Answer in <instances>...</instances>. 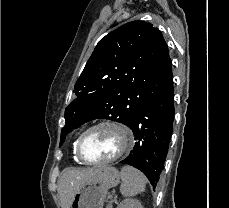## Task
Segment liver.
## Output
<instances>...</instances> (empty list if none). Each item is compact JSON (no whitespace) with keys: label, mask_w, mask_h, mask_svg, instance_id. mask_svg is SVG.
I'll use <instances>...</instances> for the list:
<instances>
[{"label":"liver","mask_w":229,"mask_h":208,"mask_svg":"<svg viewBox=\"0 0 229 208\" xmlns=\"http://www.w3.org/2000/svg\"><path fill=\"white\" fill-rule=\"evenodd\" d=\"M106 166H99V168H67L63 172L59 184L58 194L62 208H70L76 190L81 184L100 178L102 170Z\"/></svg>","instance_id":"6515ba94"}]
</instances>
